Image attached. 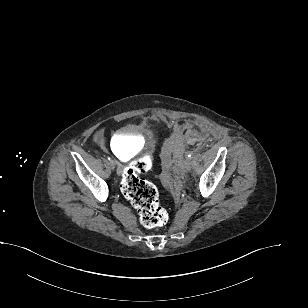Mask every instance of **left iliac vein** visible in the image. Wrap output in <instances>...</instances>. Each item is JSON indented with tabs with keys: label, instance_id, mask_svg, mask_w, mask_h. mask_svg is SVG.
<instances>
[{
	"label": "left iliac vein",
	"instance_id": "obj_1",
	"mask_svg": "<svg viewBox=\"0 0 308 308\" xmlns=\"http://www.w3.org/2000/svg\"><path fill=\"white\" fill-rule=\"evenodd\" d=\"M180 168L182 171L187 172L191 169V161L189 158L184 159L181 162Z\"/></svg>",
	"mask_w": 308,
	"mask_h": 308
}]
</instances>
